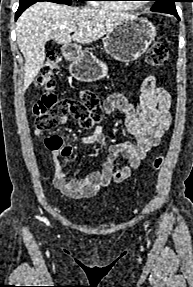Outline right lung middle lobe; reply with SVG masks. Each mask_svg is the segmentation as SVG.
I'll return each instance as SVG.
<instances>
[{"instance_id": "dd1d6c3e", "label": "right lung middle lobe", "mask_w": 193, "mask_h": 287, "mask_svg": "<svg viewBox=\"0 0 193 287\" xmlns=\"http://www.w3.org/2000/svg\"><path fill=\"white\" fill-rule=\"evenodd\" d=\"M29 1H34V2L49 1V2L66 4V5L72 4L71 0H20V2H29ZM79 1H86V0H79Z\"/></svg>"}]
</instances>
